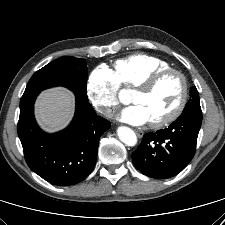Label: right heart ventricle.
Returning <instances> with one entry per match:
<instances>
[{"instance_id":"right-heart-ventricle-1","label":"right heart ventricle","mask_w":225,"mask_h":225,"mask_svg":"<svg viewBox=\"0 0 225 225\" xmlns=\"http://www.w3.org/2000/svg\"><path fill=\"white\" fill-rule=\"evenodd\" d=\"M167 68H170V65L164 60L135 53L117 60L114 64V74L119 85L135 87L148 76Z\"/></svg>"}]
</instances>
